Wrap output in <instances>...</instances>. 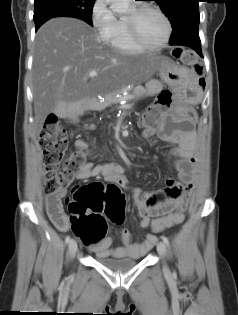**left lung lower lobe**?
<instances>
[{
  "label": "left lung lower lobe",
  "mask_w": 238,
  "mask_h": 315,
  "mask_svg": "<svg viewBox=\"0 0 238 315\" xmlns=\"http://www.w3.org/2000/svg\"><path fill=\"white\" fill-rule=\"evenodd\" d=\"M170 45L188 46L194 49L200 56H202L201 41L198 32L190 33L185 36H182L177 40L170 41Z\"/></svg>",
  "instance_id": "1"
}]
</instances>
